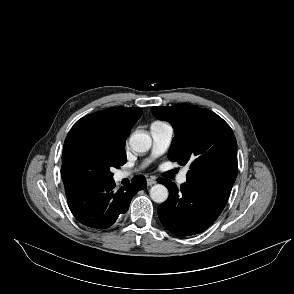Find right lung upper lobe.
<instances>
[{
    "instance_id": "cb5924a9",
    "label": "right lung upper lobe",
    "mask_w": 294,
    "mask_h": 294,
    "mask_svg": "<svg viewBox=\"0 0 294 294\" xmlns=\"http://www.w3.org/2000/svg\"><path fill=\"white\" fill-rule=\"evenodd\" d=\"M142 113L141 108L115 107L81 118L69 131L64 142L63 153L81 140L125 144L130 129Z\"/></svg>"
}]
</instances>
